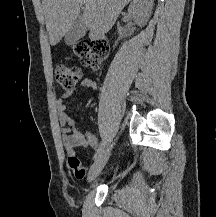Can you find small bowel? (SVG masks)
Returning <instances> with one entry per match:
<instances>
[{"mask_svg":"<svg viewBox=\"0 0 216 217\" xmlns=\"http://www.w3.org/2000/svg\"><path fill=\"white\" fill-rule=\"evenodd\" d=\"M81 87L88 90H95L96 82L92 78L87 77L82 80ZM73 93L74 90L64 91L56 102L63 144L69 157H76L75 150L78 147L98 149L97 137L89 131L80 132L75 126V121L67 114L65 100L72 96ZM81 169L82 174L80 176L75 175L77 179H82L85 176V169L83 167H81Z\"/></svg>","mask_w":216,"mask_h":217,"instance_id":"1","label":"small bowel"}]
</instances>
